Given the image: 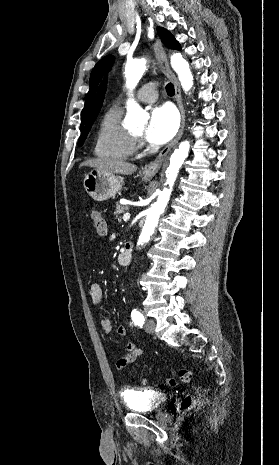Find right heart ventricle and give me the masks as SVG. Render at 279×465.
<instances>
[{"instance_id": "obj_1", "label": "right heart ventricle", "mask_w": 279, "mask_h": 465, "mask_svg": "<svg viewBox=\"0 0 279 465\" xmlns=\"http://www.w3.org/2000/svg\"><path fill=\"white\" fill-rule=\"evenodd\" d=\"M122 110L112 106L104 114L97 134L94 154L99 158L123 160L134 152L131 132L122 123Z\"/></svg>"}]
</instances>
